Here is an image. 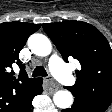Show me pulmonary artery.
<instances>
[{"mask_svg":"<svg viewBox=\"0 0 112 112\" xmlns=\"http://www.w3.org/2000/svg\"><path fill=\"white\" fill-rule=\"evenodd\" d=\"M49 67L53 75L62 83L72 85L74 78L66 65L60 60L57 55H52L49 60Z\"/></svg>","mask_w":112,"mask_h":112,"instance_id":"1","label":"pulmonary artery"}]
</instances>
